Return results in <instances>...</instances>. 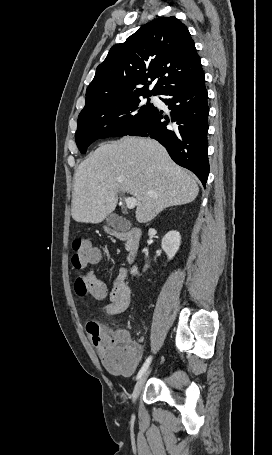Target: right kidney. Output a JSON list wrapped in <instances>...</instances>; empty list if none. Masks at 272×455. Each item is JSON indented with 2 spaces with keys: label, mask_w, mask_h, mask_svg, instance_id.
I'll use <instances>...</instances> for the list:
<instances>
[{
  "label": "right kidney",
  "mask_w": 272,
  "mask_h": 455,
  "mask_svg": "<svg viewBox=\"0 0 272 455\" xmlns=\"http://www.w3.org/2000/svg\"><path fill=\"white\" fill-rule=\"evenodd\" d=\"M181 243V236L177 231H169L162 239L161 247L165 251L169 260L177 253ZM132 274H137V267H133Z\"/></svg>",
  "instance_id": "1"
}]
</instances>
